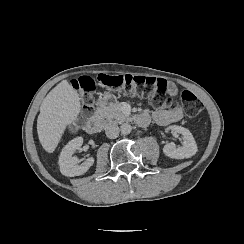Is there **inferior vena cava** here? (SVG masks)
<instances>
[{
  "label": "inferior vena cava",
  "mask_w": 244,
  "mask_h": 244,
  "mask_svg": "<svg viewBox=\"0 0 244 244\" xmlns=\"http://www.w3.org/2000/svg\"><path fill=\"white\" fill-rule=\"evenodd\" d=\"M120 129L117 125H111L106 128V136L110 139L118 137Z\"/></svg>",
  "instance_id": "obj_1"
}]
</instances>
